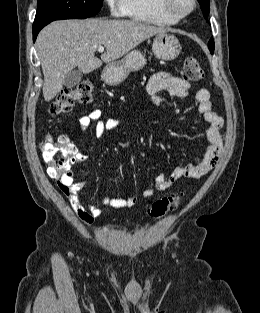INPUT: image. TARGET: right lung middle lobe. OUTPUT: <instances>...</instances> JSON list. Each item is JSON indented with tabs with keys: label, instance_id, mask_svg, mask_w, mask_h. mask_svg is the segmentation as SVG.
<instances>
[{
	"label": "right lung middle lobe",
	"instance_id": "dd1d6c3e",
	"mask_svg": "<svg viewBox=\"0 0 260 313\" xmlns=\"http://www.w3.org/2000/svg\"><path fill=\"white\" fill-rule=\"evenodd\" d=\"M103 0H38L35 21L84 19L96 15Z\"/></svg>",
	"mask_w": 260,
	"mask_h": 313
}]
</instances>
